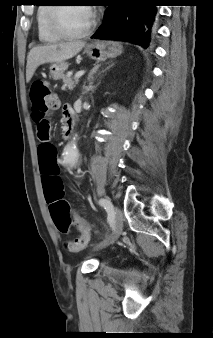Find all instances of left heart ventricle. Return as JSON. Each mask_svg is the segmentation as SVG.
Wrapping results in <instances>:
<instances>
[{
	"mask_svg": "<svg viewBox=\"0 0 213 338\" xmlns=\"http://www.w3.org/2000/svg\"><path fill=\"white\" fill-rule=\"evenodd\" d=\"M58 19L63 30L77 33L90 24L91 14L84 6H69L59 10Z\"/></svg>",
	"mask_w": 213,
	"mask_h": 338,
	"instance_id": "1",
	"label": "left heart ventricle"
}]
</instances>
